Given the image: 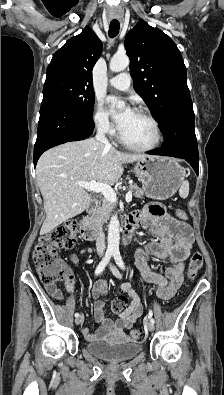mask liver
<instances>
[{
  "instance_id": "6515ba94",
  "label": "liver",
  "mask_w": 224,
  "mask_h": 395,
  "mask_svg": "<svg viewBox=\"0 0 224 395\" xmlns=\"http://www.w3.org/2000/svg\"><path fill=\"white\" fill-rule=\"evenodd\" d=\"M145 157L108 149L93 138L68 142L43 153L36 166L46 212L40 234L49 233L89 205L90 196L78 182L94 180L113 185L123 174V164Z\"/></svg>"
}]
</instances>
